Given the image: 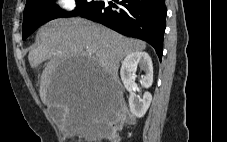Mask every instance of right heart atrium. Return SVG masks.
Wrapping results in <instances>:
<instances>
[{
  "label": "right heart atrium",
  "instance_id": "obj_1",
  "mask_svg": "<svg viewBox=\"0 0 227 142\" xmlns=\"http://www.w3.org/2000/svg\"><path fill=\"white\" fill-rule=\"evenodd\" d=\"M76 7V0H56V8L60 13H71Z\"/></svg>",
  "mask_w": 227,
  "mask_h": 142
}]
</instances>
